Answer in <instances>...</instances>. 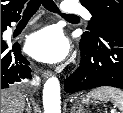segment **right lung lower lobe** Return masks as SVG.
Returning a JSON list of instances; mask_svg holds the SVG:
<instances>
[{
    "mask_svg": "<svg viewBox=\"0 0 123 113\" xmlns=\"http://www.w3.org/2000/svg\"><path fill=\"white\" fill-rule=\"evenodd\" d=\"M17 17L1 18V89L9 88L13 83L20 82L24 78H31L29 62L21 54L18 43L10 48L2 40V34L11 26V22L19 20Z\"/></svg>",
    "mask_w": 123,
    "mask_h": 113,
    "instance_id": "1",
    "label": "right lung lower lobe"
}]
</instances>
